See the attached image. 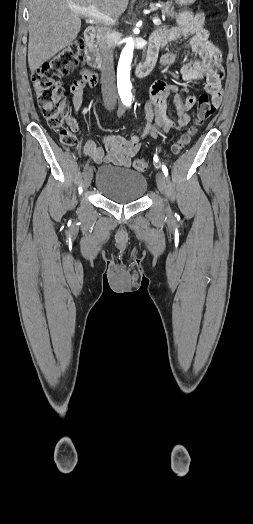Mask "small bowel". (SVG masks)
I'll use <instances>...</instances> for the list:
<instances>
[{"mask_svg": "<svg viewBox=\"0 0 253 524\" xmlns=\"http://www.w3.org/2000/svg\"><path fill=\"white\" fill-rule=\"evenodd\" d=\"M206 17L204 14L183 15L178 20V25L156 30L151 38V45L147 52V62L152 68L159 62L168 66L176 58V52L160 55L171 42L188 38V47L200 56L199 61L188 62L180 67V74L184 81L193 82L205 80V90L211 96L214 105H219L222 99L221 81L223 69L220 64L221 53L218 47L210 40L209 32L205 28ZM173 94V102L177 110V123L170 117L168 112V100ZM73 105L80 111L83 105V96L72 95ZM197 97L194 94L182 97L177 88L163 80H156L150 88V97L146 102L145 126L141 135H104L106 151L96 146L93 141L84 144V154L92 157L97 164L110 163L124 167H131L132 159L139 153L141 141L147 136L156 139L170 129H180L190 123L191 117L188 111L195 105ZM77 129L76 123L72 124Z\"/></svg>", "mask_w": 253, "mask_h": 524, "instance_id": "1", "label": "small bowel"}]
</instances>
